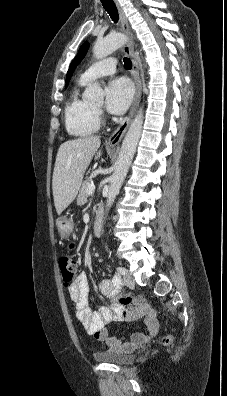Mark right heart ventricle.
Returning <instances> with one entry per match:
<instances>
[{
	"mask_svg": "<svg viewBox=\"0 0 227 396\" xmlns=\"http://www.w3.org/2000/svg\"><path fill=\"white\" fill-rule=\"evenodd\" d=\"M87 84L80 79L72 89L65 105L64 119L68 133L75 137H86L94 134L100 127L96 108L81 95V89Z\"/></svg>",
	"mask_w": 227,
	"mask_h": 396,
	"instance_id": "1",
	"label": "right heart ventricle"
}]
</instances>
